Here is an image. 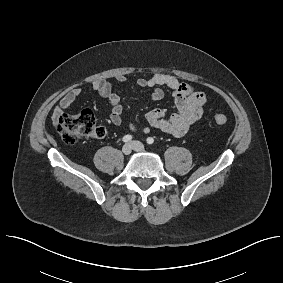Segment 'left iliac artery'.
I'll return each mask as SVG.
<instances>
[{"label": "left iliac artery", "instance_id": "44dca946", "mask_svg": "<svg viewBox=\"0 0 283 283\" xmlns=\"http://www.w3.org/2000/svg\"><path fill=\"white\" fill-rule=\"evenodd\" d=\"M146 141L148 144H153L154 139L152 137H148Z\"/></svg>", "mask_w": 283, "mask_h": 283}]
</instances>
